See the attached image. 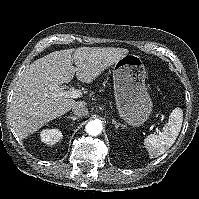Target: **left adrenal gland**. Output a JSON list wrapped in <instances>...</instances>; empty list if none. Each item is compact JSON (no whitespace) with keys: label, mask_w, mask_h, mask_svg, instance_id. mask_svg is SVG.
<instances>
[{"label":"left adrenal gland","mask_w":199,"mask_h":199,"mask_svg":"<svg viewBox=\"0 0 199 199\" xmlns=\"http://www.w3.org/2000/svg\"><path fill=\"white\" fill-rule=\"evenodd\" d=\"M112 123L115 125V128L124 127L122 124L118 123L115 119H112Z\"/></svg>","instance_id":"obj_1"}]
</instances>
